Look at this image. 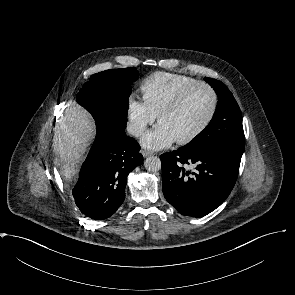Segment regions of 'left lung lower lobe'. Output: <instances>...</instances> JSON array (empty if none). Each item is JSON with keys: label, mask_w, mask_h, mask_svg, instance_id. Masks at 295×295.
Here are the masks:
<instances>
[{"label": "left lung lower lobe", "mask_w": 295, "mask_h": 295, "mask_svg": "<svg viewBox=\"0 0 295 295\" xmlns=\"http://www.w3.org/2000/svg\"><path fill=\"white\" fill-rule=\"evenodd\" d=\"M166 200L182 215L203 217L229 196L238 177L241 157L222 149L185 151L160 156ZM196 165L195 171L181 164Z\"/></svg>", "instance_id": "obj_1"}]
</instances>
